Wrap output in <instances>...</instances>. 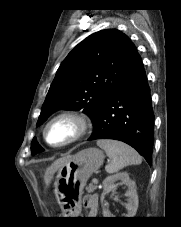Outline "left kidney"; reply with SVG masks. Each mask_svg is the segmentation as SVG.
Returning <instances> with one entry per match:
<instances>
[{
  "mask_svg": "<svg viewBox=\"0 0 181 227\" xmlns=\"http://www.w3.org/2000/svg\"><path fill=\"white\" fill-rule=\"evenodd\" d=\"M119 180L128 187V190L125 194L128 197V202L125 204V207L127 209V214L124 217H134L138 208V195L136 192L135 182L130 179L129 174L127 172H120V173L108 176L103 181L104 190L101 196L103 214L106 217L109 214L108 210L105 207V204H103L104 196L107 193L115 190L116 188L115 183Z\"/></svg>",
  "mask_w": 181,
  "mask_h": 227,
  "instance_id": "obj_1",
  "label": "left kidney"
}]
</instances>
